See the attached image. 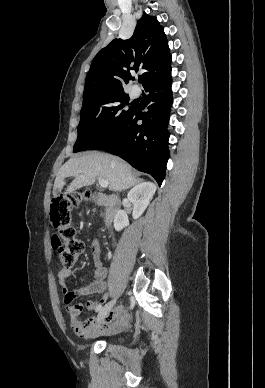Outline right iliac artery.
Returning a JSON list of instances; mask_svg holds the SVG:
<instances>
[{
	"label": "right iliac artery",
	"mask_w": 265,
	"mask_h": 388,
	"mask_svg": "<svg viewBox=\"0 0 265 388\" xmlns=\"http://www.w3.org/2000/svg\"><path fill=\"white\" fill-rule=\"evenodd\" d=\"M101 308H102V305L98 306V307L96 308V312L100 311Z\"/></svg>",
	"instance_id": "obj_1"
}]
</instances>
